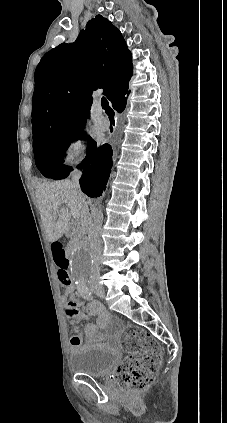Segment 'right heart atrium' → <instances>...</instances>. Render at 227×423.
Masks as SVG:
<instances>
[{"mask_svg":"<svg viewBox=\"0 0 227 423\" xmlns=\"http://www.w3.org/2000/svg\"><path fill=\"white\" fill-rule=\"evenodd\" d=\"M87 157L86 140L81 135L70 137L64 144L60 162L66 167H74L82 164Z\"/></svg>","mask_w":227,"mask_h":423,"instance_id":"1","label":"right heart atrium"}]
</instances>
